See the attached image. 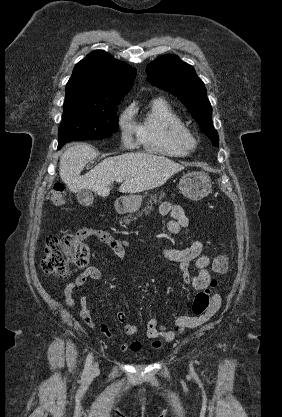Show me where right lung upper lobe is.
Wrapping results in <instances>:
<instances>
[{"label":"right lung upper lobe","mask_w":282,"mask_h":417,"mask_svg":"<svg viewBox=\"0 0 282 417\" xmlns=\"http://www.w3.org/2000/svg\"><path fill=\"white\" fill-rule=\"evenodd\" d=\"M136 69L103 50H95L78 62L66 86L71 94H120L131 89Z\"/></svg>","instance_id":"cb5924a9"}]
</instances>
